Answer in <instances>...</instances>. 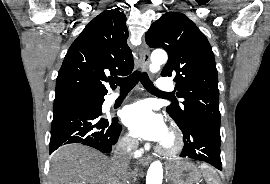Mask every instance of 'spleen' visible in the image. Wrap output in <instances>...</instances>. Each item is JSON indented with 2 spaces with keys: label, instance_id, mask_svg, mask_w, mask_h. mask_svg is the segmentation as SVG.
Listing matches in <instances>:
<instances>
[{
  "label": "spleen",
  "instance_id": "obj_1",
  "mask_svg": "<svg viewBox=\"0 0 270 184\" xmlns=\"http://www.w3.org/2000/svg\"><path fill=\"white\" fill-rule=\"evenodd\" d=\"M200 168L208 184H221L219 177L209 166L201 165Z\"/></svg>",
  "mask_w": 270,
  "mask_h": 184
}]
</instances>
